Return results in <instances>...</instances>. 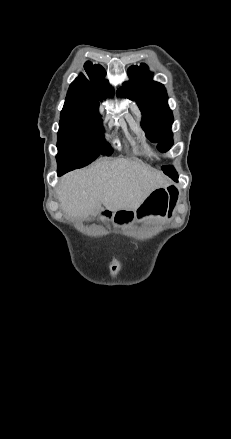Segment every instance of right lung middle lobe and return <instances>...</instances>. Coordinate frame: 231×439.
Returning a JSON list of instances; mask_svg holds the SVG:
<instances>
[{"instance_id": "dd1d6c3e", "label": "right lung middle lobe", "mask_w": 231, "mask_h": 439, "mask_svg": "<svg viewBox=\"0 0 231 439\" xmlns=\"http://www.w3.org/2000/svg\"><path fill=\"white\" fill-rule=\"evenodd\" d=\"M59 126L58 168H81L99 154H112L110 145L104 141L98 111H62Z\"/></svg>"}]
</instances>
